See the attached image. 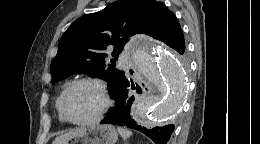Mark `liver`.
<instances>
[{
    "mask_svg": "<svg viewBox=\"0 0 260 144\" xmlns=\"http://www.w3.org/2000/svg\"><path fill=\"white\" fill-rule=\"evenodd\" d=\"M83 130L84 129H76L74 131L62 134L56 137L52 144H67L69 140H71L74 136L82 133Z\"/></svg>",
    "mask_w": 260,
    "mask_h": 144,
    "instance_id": "6515ba94",
    "label": "liver"
}]
</instances>
